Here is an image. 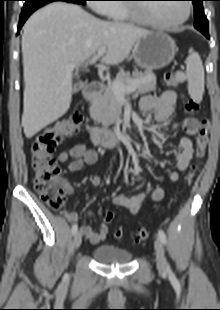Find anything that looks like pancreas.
<instances>
[{
    "mask_svg": "<svg viewBox=\"0 0 220 310\" xmlns=\"http://www.w3.org/2000/svg\"><path fill=\"white\" fill-rule=\"evenodd\" d=\"M115 81L124 86L134 84L135 91L140 94L154 91L156 86V76L151 71H134L132 76L129 73H120ZM112 86L113 83L107 85L104 92L92 101L89 109L91 118L106 128L112 125L120 114L118 97L115 95Z\"/></svg>",
    "mask_w": 220,
    "mask_h": 310,
    "instance_id": "cf45deb5",
    "label": "pancreas"
}]
</instances>
